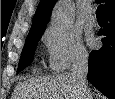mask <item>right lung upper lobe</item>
Instances as JSON below:
<instances>
[{"label":"right lung upper lobe","mask_w":115,"mask_h":99,"mask_svg":"<svg viewBox=\"0 0 115 99\" xmlns=\"http://www.w3.org/2000/svg\"><path fill=\"white\" fill-rule=\"evenodd\" d=\"M56 1L57 0H40L28 36L43 34ZM102 2H104V13L115 8V0H102Z\"/></svg>","instance_id":"cb5924a9"}]
</instances>
